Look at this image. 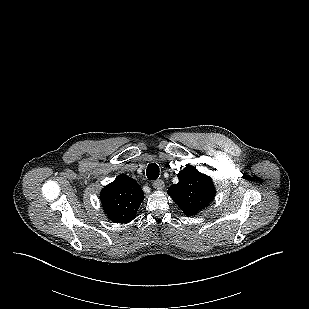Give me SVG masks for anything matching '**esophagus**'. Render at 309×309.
I'll return each instance as SVG.
<instances>
[{
    "label": "esophagus",
    "mask_w": 309,
    "mask_h": 309,
    "mask_svg": "<svg viewBox=\"0 0 309 309\" xmlns=\"http://www.w3.org/2000/svg\"><path fill=\"white\" fill-rule=\"evenodd\" d=\"M153 187L157 190H162L164 188V182L162 180L153 181Z\"/></svg>",
    "instance_id": "esophagus-1"
}]
</instances>
